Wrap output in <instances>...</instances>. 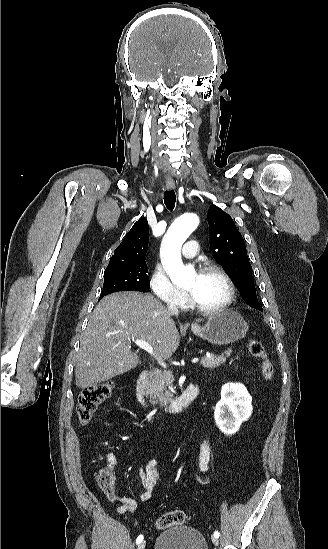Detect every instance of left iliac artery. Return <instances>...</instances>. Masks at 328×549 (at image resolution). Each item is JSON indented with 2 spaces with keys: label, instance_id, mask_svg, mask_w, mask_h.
I'll return each instance as SVG.
<instances>
[{
  "label": "left iliac artery",
  "instance_id": "44dca946",
  "mask_svg": "<svg viewBox=\"0 0 328 549\" xmlns=\"http://www.w3.org/2000/svg\"><path fill=\"white\" fill-rule=\"evenodd\" d=\"M219 536H220V533L218 531H215L214 532V537L219 538Z\"/></svg>",
  "mask_w": 328,
  "mask_h": 549
}]
</instances>
